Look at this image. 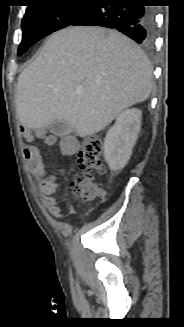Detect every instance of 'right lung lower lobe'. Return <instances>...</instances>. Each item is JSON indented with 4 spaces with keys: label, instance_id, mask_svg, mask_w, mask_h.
Masks as SVG:
<instances>
[{
    "label": "right lung lower lobe",
    "instance_id": "right-lung-lower-lobe-1",
    "mask_svg": "<svg viewBox=\"0 0 184 327\" xmlns=\"http://www.w3.org/2000/svg\"><path fill=\"white\" fill-rule=\"evenodd\" d=\"M95 0L92 6L71 25L113 28L137 43L151 45L155 22L153 10L143 6L144 0Z\"/></svg>",
    "mask_w": 184,
    "mask_h": 327
}]
</instances>
